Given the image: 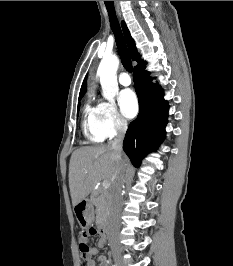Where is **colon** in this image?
Here are the masks:
<instances>
[{
    "instance_id": "colon-1",
    "label": "colon",
    "mask_w": 233,
    "mask_h": 266,
    "mask_svg": "<svg viewBox=\"0 0 233 266\" xmlns=\"http://www.w3.org/2000/svg\"><path fill=\"white\" fill-rule=\"evenodd\" d=\"M97 233L95 228H90L88 231L81 235V241L79 244V249L81 252L82 259L85 260L89 256L90 246L87 244L86 240L89 236H93Z\"/></svg>"
}]
</instances>
